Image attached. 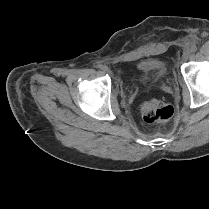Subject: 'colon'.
<instances>
[{
  "label": "colon",
  "mask_w": 209,
  "mask_h": 209,
  "mask_svg": "<svg viewBox=\"0 0 209 209\" xmlns=\"http://www.w3.org/2000/svg\"><path fill=\"white\" fill-rule=\"evenodd\" d=\"M172 106L160 100H149L142 104L141 115L143 120L149 124H164L173 117Z\"/></svg>",
  "instance_id": "obj_1"
}]
</instances>
